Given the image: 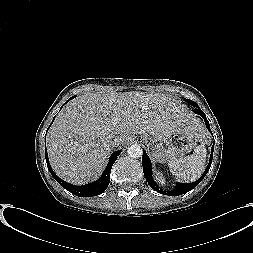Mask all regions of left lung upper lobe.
<instances>
[{
  "instance_id": "obj_1",
  "label": "left lung upper lobe",
  "mask_w": 253,
  "mask_h": 253,
  "mask_svg": "<svg viewBox=\"0 0 253 253\" xmlns=\"http://www.w3.org/2000/svg\"><path fill=\"white\" fill-rule=\"evenodd\" d=\"M187 102L189 103V102H194V101H191V100L187 99ZM189 104H190V103H189Z\"/></svg>"
}]
</instances>
